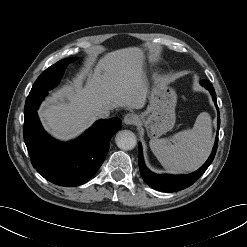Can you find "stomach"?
Returning a JSON list of instances; mask_svg holds the SVG:
<instances>
[{"instance_id": "1", "label": "stomach", "mask_w": 247, "mask_h": 247, "mask_svg": "<svg viewBox=\"0 0 247 247\" xmlns=\"http://www.w3.org/2000/svg\"><path fill=\"white\" fill-rule=\"evenodd\" d=\"M176 103L175 90L156 78L150 91L149 105L140 115V122L151 138H158L173 128Z\"/></svg>"}]
</instances>
